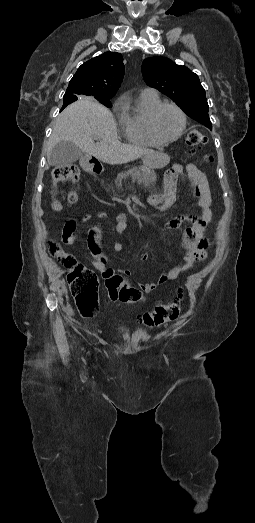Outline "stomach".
I'll use <instances>...</instances> for the list:
<instances>
[{"label":"stomach","instance_id":"1","mask_svg":"<svg viewBox=\"0 0 255 523\" xmlns=\"http://www.w3.org/2000/svg\"><path fill=\"white\" fill-rule=\"evenodd\" d=\"M143 164L145 168H151V170L167 167L169 165L168 153L166 151H152L144 158Z\"/></svg>","mask_w":255,"mask_h":523}]
</instances>
